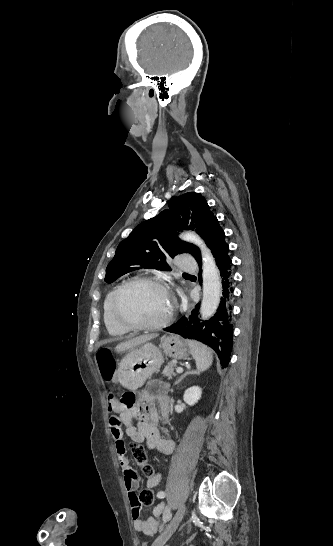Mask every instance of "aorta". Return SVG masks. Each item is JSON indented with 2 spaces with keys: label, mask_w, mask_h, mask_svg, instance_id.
Here are the masks:
<instances>
[{
  "label": "aorta",
  "mask_w": 333,
  "mask_h": 546,
  "mask_svg": "<svg viewBox=\"0 0 333 546\" xmlns=\"http://www.w3.org/2000/svg\"><path fill=\"white\" fill-rule=\"evenodd\" d=\"M182 238L186 241L196 244L200 247L202 251L203 299L200 313L203 319H208L215 314L220 302V274L212 254L197 234L193 232H187L182 235Z\"/></svg>",
  "instance_id": "aorta-1"
}]
</instances>
